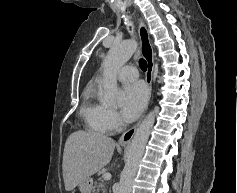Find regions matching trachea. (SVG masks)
Here are the masks:
<instances>
[{
  "label": "trachea",
  "mask_w": 237,
  "mask_h": 193,
  "mask_svg": "<svg viewBox=\"0 0 237 193\" xmlns=\"http://www.w3.org/2000/svg\"><path fill=\"white\" fill-rule=\"evenodd\" d=\"M139 65H140V68H141L143 71H146V70H147V62H146L144 59H140V60H139Z\"/></svg>",
  "instance_id": "3493384b"
}]
</instances>
